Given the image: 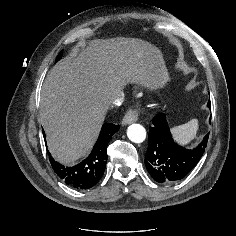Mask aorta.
<instances>
[{
  "label": "aorta",
  "mask_w": 236,
  "mask_h": 236,
  "mask_svg": "<svg viewBox=\"0 0 236 236\" xmlns=\"http://www.w3.org/2000/svg\"><path fill=\"white\" fill-rule=\"evenodd\" d=\"M127 136L134 143H142L146 139V130L140 124H131L127 128Z\"/></svg>",
  "instance_id": "obj_1"
}]
</instances>
